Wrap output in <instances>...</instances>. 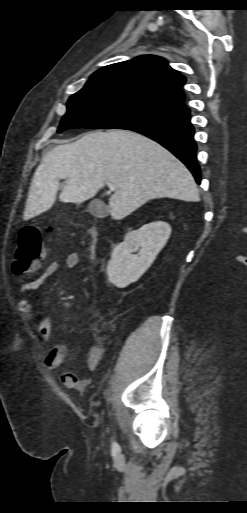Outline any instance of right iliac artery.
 I'll return each mask as SVG.
<instances>
[{
  "label": "right iliac artery",
  "instance_id": "obj_1",
  "mask_svg": "<svg viewBox=\"0 0 247 513\" xmlns=\"http://www.w3.org/2000/svg\"><path fill=\"white\" fill-rule=\"evenodd\" d=\"M119 451V445L116 442L112 443V452L116 453Z\"/></svg>",
  "mask_w": 247,
  "mask_h": 513
}]
</instances>
